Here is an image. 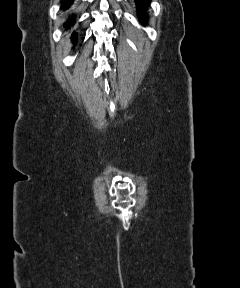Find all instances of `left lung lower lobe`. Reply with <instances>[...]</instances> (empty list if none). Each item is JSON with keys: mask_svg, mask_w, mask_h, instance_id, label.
<instances>
[{"mask_svg": "<svg viewBox=\"0 0 240 288\" xmlns=\"http://www.w3.org/2000/svg\"><path fill=\"white\" fill-rule=\"evenodd\" d=\"M138 10V16L140 20L146 24L147 23V14L144 13L145 9L148 7L150 0H135Z\"/></svg>", "mask_w": 240, "mask_h": 288, "instance_id": "obj_1", "label": "left lung lower lobe"}]
</instances>
